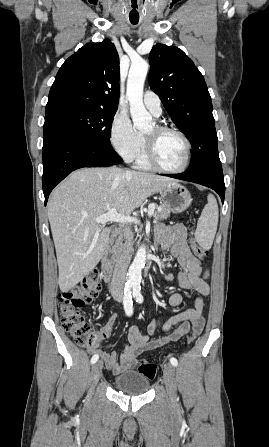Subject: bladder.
Listing matches in <instances>:
<instances>
[{
  "instance_id": "1",
  "label": "bladder",
  "mask_w": 269,
  "mask_h": 447,
  "mask_svg": "<svg viewBox=\"0 0 269 447\" xmlns=\"http://www.w3.org/2000/svg\"><path fill=\"white\" fill-rule=\"evenodd\" d=\"M113 387L129 396L144 395L151 389V380L145 372L127 370L113 378Z\"/></svg>"
}]
</instances>
